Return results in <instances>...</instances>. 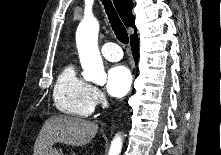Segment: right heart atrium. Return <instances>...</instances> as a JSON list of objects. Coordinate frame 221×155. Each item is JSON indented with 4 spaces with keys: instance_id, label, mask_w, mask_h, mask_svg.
I'll list each match as a JSON object with an SVG mask.
<instances>
[{
    "instance_id": "1",
    "label": "right heart atrium",
    "mask_w": 221,
    "mask_h": 155,
    "mask_svg": "<svg viewBox=\"0 0 221 155\" xmlns=\"http://www.w3.org/2000/svg\"><path fill=\"white\" fill-rule=\"evenodd\" d=\"M91 97L94 105L101 104L104 100L101 90L95 86L91 87Z\"/></svg>"
}]
</instances>
